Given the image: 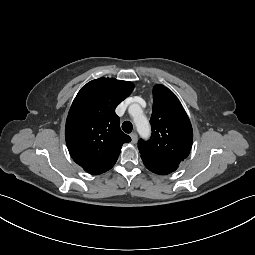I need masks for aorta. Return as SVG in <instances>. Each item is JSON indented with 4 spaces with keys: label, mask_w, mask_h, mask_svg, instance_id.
<instances>
[{
    "label": "aorta",
    "mask_w": 255,
    "mask_h": 255,
    "mask_svg": "<svg viewBox=\"0 0 255 255\" xmlns=\"http://www.w3.org/2000/svg\"><path fill=\"white\" fill-rule=\"evenodd\" d=\"M141 113V108L137 104H133L130 106V113L133 115L134 123L137 127V131L142 137H148L150 134V125L145 116L142 114L137 115V113Z\"/></svg>",
    "instance_id": "1"
}]
</instances>
